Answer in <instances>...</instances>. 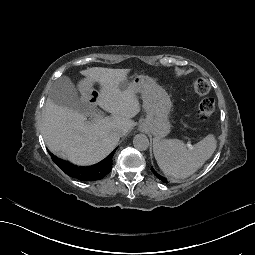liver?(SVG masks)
<instances>
[{"label": "liver", "mask_w": 255, "mask_h": 255, "mask_svg": "<svg viewBox=\"0 0 255 255\" xmlns=\"http://www.w3.org/2000/svg\"><path fill=\"white\" fill-rule=\"evenodd\" d=\"M129 71L92 67L80 72L90 81L100 84L96 104L110 112L112 117L86 122L83 114L47 99L41 131L48 149L54 155L76 165L88 166L100 162L113 151L120 139L114 128L124 122L133 127L131 118L140 112L135 86L130 84L125 91L120 89V83L126 80ZM152 96H157L162 103V111L167 104H171L166 91L154 81L143 97V107Z\"/></svg>", "instance_id": "6515ba94"}]
</instances>
